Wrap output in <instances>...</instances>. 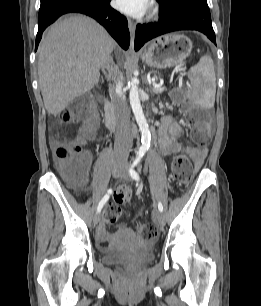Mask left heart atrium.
<instances>
[{
    "mask_svg": "<svg viewBox=\"0 0 261 306\" xmlns=\"http://www.w3.org/2000/svg\"><path fill=\"white\" fill-rule=\"evenodd\" d=\"M149 0H116V7L130 16H140L149 8Z\"/></svg>",
    "mask_w": 261,
    "mask_h": 306,
    "instance_id": "obj_1",
    "label": "left heart atrium"
}]
</instances>
